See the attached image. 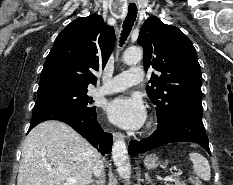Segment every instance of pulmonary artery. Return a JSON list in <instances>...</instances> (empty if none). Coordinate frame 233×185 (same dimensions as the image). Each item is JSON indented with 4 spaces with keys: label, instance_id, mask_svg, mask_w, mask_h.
I'll use <instances>...</instances> for the list:
<instances>
[{
    "label": "pulmonary artery",
    "instance_id": "1",
    "mask_svg": "<svg viewBox=\"0 0 233 185\" xmlns=\"http://www.w3.org/2000/svg\"><path fill=\"white\" fill-rule=\"evenodd\" d=\"M143 77L144 74L141 68L132 67L119 75L108 79L102 87L97 89V92L101 94L119 92L142 82Z\"/></svg>",
    "mask_w": 233,
    "mask_h": 185
}]
</instances>
